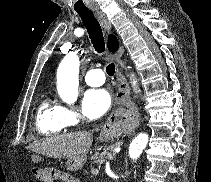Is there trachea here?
Instances as JSON below:
<instances>
[{
	"instance_id": "1",
	"label": "trachea",
	"mask_w": 211,
	"mask_h": 182,
	"mask_svg": "<svg viewBox=\"0 0 211 182\" xmlns=\"http://www.w3.org/2000/svg\"><path fill=\"white\" fill-rule=\"evenodd\" d=\"M78 15L81 17L83 24L85 25L94 49L98 53L105 51V42L103 37V32L98 20L94 17L92 11L90 10H80L77 11ZM106 72L108 75L113 76L115 73L114 63H110L106 67Z\"/></svg>"
}]
</instances>
